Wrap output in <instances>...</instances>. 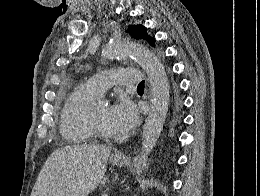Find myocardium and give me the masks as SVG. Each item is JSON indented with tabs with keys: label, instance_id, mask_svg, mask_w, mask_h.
Wrapping results in <instances>:
<instances>
[{
	"label": "myocardium",
	"instance_id": "f54148a6",
	"mask_svg": "<svg viewBox=\"0 0 260 196\" xmlns=\"http://www.w3.org/2000/svg\"><path fill=\"white\" fill-rule=\"evenodd\" d=\"M96 105L94 104L91 108L90 114H89V118H88V124L91 128V130L96 133L97 135L105 138L106 140H111L112 139V135L111 133H109L108 131H106L105 129H103L96 120L95 117V110H96Z\"/></svg>",
	"mask_w": 260,
	"mask_h": 196
}]
</instances>
